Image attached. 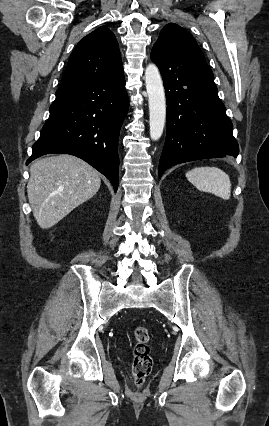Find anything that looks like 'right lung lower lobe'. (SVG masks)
<instances>
[{"instance_id":"obj_1","label":"right lung lower lobe","mask_w":269,"mask_h":426,"mask_svg":"<svg viewBox=\"0 0 269 426\" xmlns=\"http://www.w3.org/2000/svg\"><path fill=\"white\" fill-rule=\"evenodd\" d=\"M129 101L124 73L59 88L29 164L52 153L77 156L104 174L118 189V138Z\"/></svg>"}]
</instances>
